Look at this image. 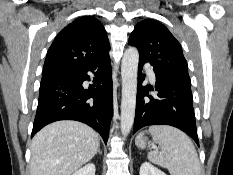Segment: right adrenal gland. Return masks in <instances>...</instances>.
<instances>
[{"label": "right adrenal gland", "instance_id": "2a0ac1e0", "mask_svg": "<svg viewBox=\"0 0 233 175\" xmlns=\"http://www.w3.org/2000/svg\"><path fill=\"white\" fill-rule=\"evenodd\" d=\"M99 155H102V152L100 151V146L98 147V151Z\"/></svg>", "mask_w": 233, "mask_h": 175}]
</instances>
